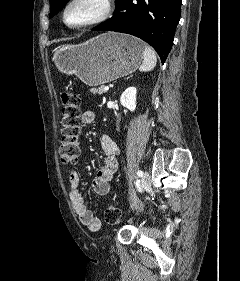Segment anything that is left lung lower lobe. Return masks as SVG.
I'll list each match as a JSON object with an SVG mask.
<instances>
[{"label": "left lung lower lobe", "mask_w": 240, "mask_h": 281, "mask_svg": "<svg viewBox=\"0 0 240 281\" xmlns=\"http://www.w3.org/2000/svg\"><path fill=\"white\" fill-rule=\"evenodd\" d=\"M182 0H117L114 15L92 30L134 35L150 44L162 63L170 52Z\"/></svg>", "instance_id": "0a47b994"}]
</instances>
